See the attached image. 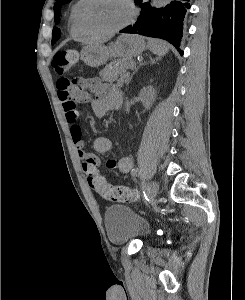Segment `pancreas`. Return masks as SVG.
Here are the masks:
<instances>
[{"instance_id":"1","label":"pancreas","mask_w":245,"mask_h":300,"mask_svg":"<svg viewBox=\"0 0 245 300\" xmlns=\"http://www.w3.org/2000/svg\"><path fill=\"white\" fill-rule=\"evenodd\" d=\"M132 62V60L125 59L111 62L110 64L106 65L103 70L100 71L99 75L103 81L109 83L117 81L118 86H122L124 82H127V69L131 68L130 64Z\"/></svg>"}]
</instances>
